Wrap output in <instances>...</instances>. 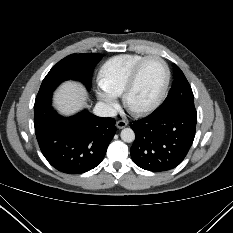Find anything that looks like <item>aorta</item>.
<instances>
[{
  "label": "aorta",
  "instance_id": "aorta-1",
  "mask_svg": "<svg viewBox=\"0 0 233 233\" xmlns=\"http://www.w3.org/2000/svg\"><path fill=\"white\" fill-rule=\"evenodd\" d=\"M120 136H121V139L127 143H131L135 140V133L131 128H124L121 131Z\"/></svg>",
  "mask_w": 233,
  "mask_h": 233
}]
</instances>
